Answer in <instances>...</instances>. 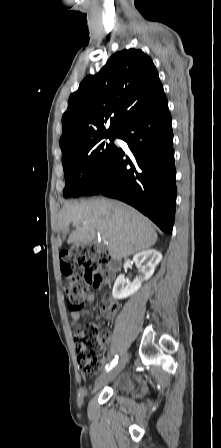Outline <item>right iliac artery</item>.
<instances>
[{
    "instance_id": "82829eb1",
    "label": "right iliac artery",
    "mask_w": 221,
    "mask_h": 448,
    "mask_svg": "<svg viewBox=\"0 0 221 448\" xmlns=\"http://www.w3.org/2000/svg\"><path fill=\"white\" fill-rule=\"evenodd\" d=\"M117 363H118V356H116L115 359H113L112 362L105 367L106 371L112 369Z\"/></svg>"
}]
</instances>
